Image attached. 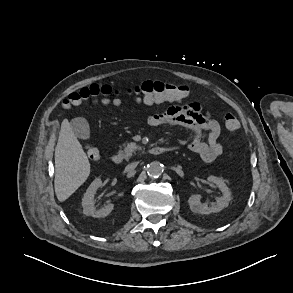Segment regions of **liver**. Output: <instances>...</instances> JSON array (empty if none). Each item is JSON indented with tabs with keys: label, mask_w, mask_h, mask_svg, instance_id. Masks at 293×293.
I'll return each mask as SVG.
<instances>
[{
	"label": "liver",
	"mask_w": 293,
	"mask_h": 293,
	"mask_svg": "<svg viewBox=\"0 0 293 293\" xmlns=\"http://www.w3.org/2000/svg\"><path fill=\"white\" fill-rule=\"evenodd\" d=\"M90 163L67 119L61 124L55 148L54 187L60 202L68 199L89 177Z\"/></svg>",
	"instance_id": "1"
}]
</instances>
